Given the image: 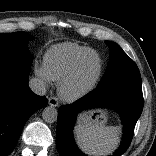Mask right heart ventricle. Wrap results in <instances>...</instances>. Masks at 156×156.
Returning a JSON list of instances; mask_svg holds the SVG:
<instances>
[{
  "instance_id": "obj_1",
  "label": "right heart ventricle",
  "mask_w": 156,
  "mask_h": 156,
  "mask_svg": "<svg viewBox=\"0 0 156 156\" xmlns=\"http://www.w3.org/2000/svg\"><path fill=\"white\" fill-rule=\"evenodd\" d=\"M88 53L96 51L75 43L56 44L46 51L44 67L51 80L60 82L69 74L75 63Z\"/></svg>"
}]
</instances>
